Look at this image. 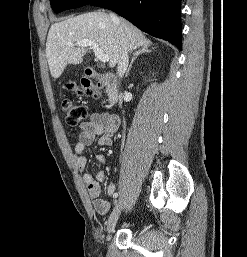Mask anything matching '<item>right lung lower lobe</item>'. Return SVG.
Returning <instances> with one entry per match:
<instances>
[{"label":"right lung lower lobe","instance_id":"right-lung-lower-lobe-1","mask_svg":"<svg viewBox=\"0 0 247 257\" xmlns=\"http://www.w3.org/2000/svg\"><path fill=\"white\" fill-rule=\"evenodd\" d=\"M90 4L113 10L142 31L181 50L180 0H94Z\"/></svg>","mask_w":247,"mask_h":257}]
</instances>
